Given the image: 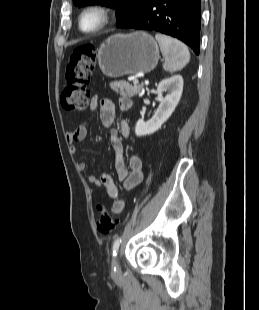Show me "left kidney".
<instances>
[{
  "label": "left kidney",
  "mask_w": 259,
  "mask_h": 310,
  "mask_svg": "<svg viewBox=\"0 0 259 310\" xmlns=\"http://www.w3.org/2000/svg\"><path fill=\"white\" fill-rule=\"evenodd\" d=\"M167 95L163 97V92ZM183 91V78L181 75H174L162 80L157 87V99L159 107L150 120L145 122L139 119L135 126L136 136L150 135L156 132L168 120L174 112Z\"/></svg>",
  "instance_id": "left-kidney-1"
}]
</instances>
